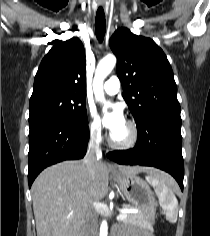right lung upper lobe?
Masks as SVG:
<instances>
[{
    "label": "right lung upper lobe",
    "mask_w": 210,
    "mask_h": 236,
    "mask_svg": "<svg viewBox=\"0 0 210 236\" xmlns=\"http://www.w3.org/2000/svg\"><path fill=\"white\" fill-rule=\"evenodd\" d=\"M85 48L79 38L55 45L43 58L30 101L49 94L85 96Z\"/></svg>",
    "instance_id": "1"
}]
</instances>
